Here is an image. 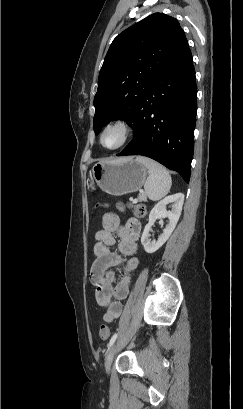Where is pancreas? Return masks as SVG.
Returning <instances> with one entry per match:
<instances>
[{
  "label": "pancreas",
  "mask_w": 243,
  "mask_h": 409,
  "mask_svg": "<svg viewBox=\"0 0 243 409\" xmlns=\"http://www.w3.org/2000/svg\"><path fill=\"white\" fill-rule=\"evenodd\" d=\"M139 199H140L141 201H145V200H146L145 194H141V195L139 196Z\"/></svg>",
  "instance_id": "cf45deb5"
}]
</instances>
